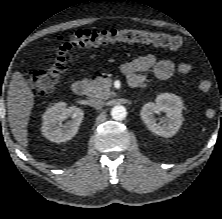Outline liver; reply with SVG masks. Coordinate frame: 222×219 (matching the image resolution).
<instances>
[{
	"label": "liver",
	"mask_w": 222,
	"mask_h": 219,
	"mask_svg": "<svg viewBox=\"0 0 222 219\" xmlns=\"http://www.w3.org/2000/svg\"><path fill=\"white\" fill-rule=\"evenodd\" d=\"M34 105V95L23 75L16 71L10 81L7 108L8 121L15 140L28 146L27 126Z\"/></svg>",
	"instance_id": "6515ba94"
}]
</instances>
